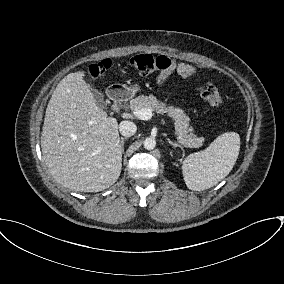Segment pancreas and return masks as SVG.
Instances as JSON below:
<instances>
[{
    "mask_svg": "<svg viewBox=\"0 0 284 284\" xmlns=\"http://www.w3.org/2000/svg\"><path fill=\"white\" fill-rule=\"evenodd\" d=\"M130 108L135 109H151L159 114L167 113L175 124V134L178 141L187 148H199L203 145L204 138L198 137L192 133V129L189 128V117L186 113L173 106H167L166 103L159 101L155 96L140 95L130 101Z\"/></svg>",
    "mask_w": 284,
    "mask_h": 284,
    "instance_id": "pancreas-1",
    "label": "pancreas"
}]
</instances>
